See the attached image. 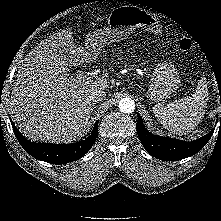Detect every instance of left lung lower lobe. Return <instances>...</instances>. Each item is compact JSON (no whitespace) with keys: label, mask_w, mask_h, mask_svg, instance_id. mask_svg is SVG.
Returning <instances> with one entry per match:
<instances>
[{"label":"left lung lower lobe","mask_w":221,"mask_h":221,"mask_svg":"<svg viewBox=\"0 0 221 221\" xmlns=\"http://www.w3.org/2000/svg\"><path fill=\"white\" fill-rule=\"evenodd\" d=\"M137 116L136 129L144 148L150 155L163 161H177L193 156L206 145L213 134L212 131L191 142L156 136L145 128L142 118L138 113Z\"/></svg>","instance_id":"obj_1"}]
</instances>
